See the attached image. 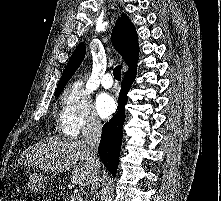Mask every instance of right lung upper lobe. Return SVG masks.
<instances>
[{
    "instance_id": "cb5924a9",
    "label": "right lung upper lobe",
    "mask_w": 221,
    "mask_h": 201,
    "mask_svg": "<svg viewBox=\"0 0 221 201\" xmlns=\"http://www.w3.org/2000/svg\"><path fill=\"white\" fill-rule=\"evenodd\" d=\"M112 42L116 50L121 54L122 58L129 66L126 73L135 71L139 53L138 36L133 23L127 15L122 14L116 22L112 31ZM85 51L84 43H80L69 59L55 92L63 91L65 85L84 59Z\"/></svg>"
}]
</instances>
